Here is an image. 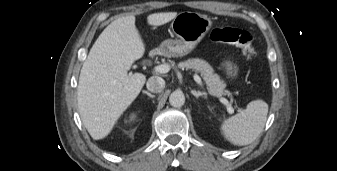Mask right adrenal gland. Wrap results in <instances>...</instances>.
Returning <instances> with one entry per match:
<instances>
[{
    "instance_id": "right-adrenal-gland-1",
    "label": "right adrenal gland",
    "mask_w": 337,
    "mask_h": 171,
    "mask_svg": "<svg viewBox=\"0 0 337 171\" xmlns=\"http://www.w3.org/2000/svg\"><path fill=\"white\" fill-rule=\"evenodd\" d=\"M144 94H146L147 96H149L150 98H154L155 95H152L151 93H149L148 91H142Z\"/></svg>"
}]
</instances>
